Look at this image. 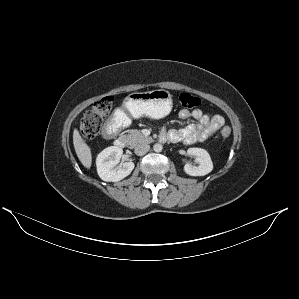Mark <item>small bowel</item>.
Returning a JSON list of instances; mask_svg holds the SVG:
<instances>
[{
    "label": "small bowel",
    "instance_id": "c3829d8e",
    "mask_svg": "<svg viewBox=\"0 0 299 299\" xmlns=\"http://www.w3.org/2000/svg\"><path fill=\"white\" fill-rule=\"evenodd\" d=\"M179 118L182 120L194 119L196 122L180 130L164 131L163 135L172 142H181L186 145L206 141L220 131L225 124L221 115H211L200 109H183L179 112ZM112 120L117 123L120 121L119 116Z\"/></svg>",
    "mask_w": 299,
    "mask_h": 299
}]
</instances>
